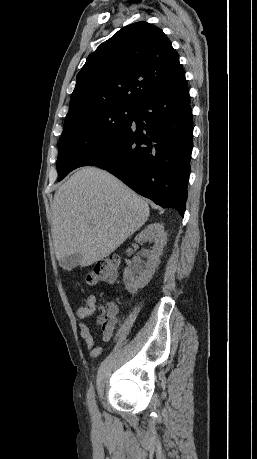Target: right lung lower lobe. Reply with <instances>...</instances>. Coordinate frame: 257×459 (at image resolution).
Returning <instances> with one entry per match:
<instances>
[{"mask_svg": "<svg viewBox=\"0 0 257 459\" xmlns=\"http://www.w3.org/2000/svg\"><path fill=\"white\" fill-rule=\"evenodd\" d=\"M192 138V110L183 74L141 101L127 129L79 167L105 169L140 195L183 217Z\"/></svg>", "mask_w": 257, "mask_h": 459, "instance_id": "obj_1", "label": "right lung lower lobe"}]
</instances>
